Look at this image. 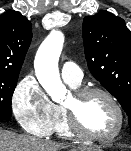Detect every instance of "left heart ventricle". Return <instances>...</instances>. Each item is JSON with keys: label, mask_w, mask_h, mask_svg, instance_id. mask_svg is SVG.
Masks as SVG:
<instances>
[{"label": "left heart ventricle", "mask_w": 131, "mask_h": 151, "mask_svg": "<svg viewBox=\"0 0 131 151\" xmlns=\"http://www.w3.org/2000/svg\"><path fill=\"white\" fill-rule=\"evenodd\" d=\"M71 97L65 104L71 103ZM83 127L97 136H110L118 126V115L113 105L103 96L88 98L80 110Z\"/></svg>", "instance_id": "b2bd125f"}]
</instances>
